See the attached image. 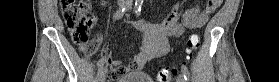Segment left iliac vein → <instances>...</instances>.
Instances as JSON below:
<instances>
[{"instance_id":"obj_1","label":"left iliac vein","mask_w":279,"mask_h":82,"mask_svg":"<svg viewBox=\"0 0 279 82\" xmlns=\"http://www.w3.org/2000/svg\"><path fill=\"white\" fill-rule=\"evenodd\" d=\"M177 82H185L182 74L177 76Z\"/></svg>"}]
</instances>
